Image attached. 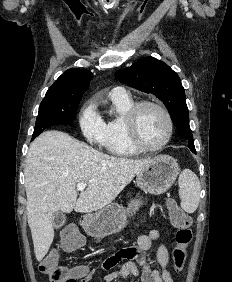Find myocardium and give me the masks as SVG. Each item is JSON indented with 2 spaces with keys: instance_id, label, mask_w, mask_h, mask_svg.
I'll use <instances>...</instances> for the list:
<instances>
[{
  "instance_id": "obj_1",
  "label": "myocardium",
  "mask_w": 232,
  "mask_h": 282,
  "mask_svg": "<svg viewBox=\"0 0 232 282\" xmlns=\"http://www.w3.org/2000/svg\"><path fill=\"white\" fill-rule=\"evenodd\" d=\"M145 107H153L160 111L167 123V135L165 139L159 143L158 145L155 146H148L144 144L138 134V128H137V121H138V116L141 112V110ZM125 127H126V132L128 139L130 143L139 151L142 152H153V151H158L162 148H164L172 139L173 133H174V123L173 119L168 112V110L163 107L161 104L153 102V101H140L135 104L127 111L125 115Z\"/></svg>"
}]
</instances>
